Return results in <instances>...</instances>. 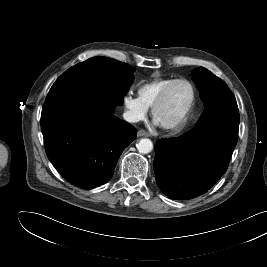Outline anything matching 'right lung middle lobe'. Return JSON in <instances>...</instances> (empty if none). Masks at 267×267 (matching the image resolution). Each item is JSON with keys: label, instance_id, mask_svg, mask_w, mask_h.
<instances>
[{"label": "right lung middle lobe", "instance_id": "dd1d6c3e", "mask_svg": "<svg viewBox=\"0 0 267 267\" xmlns=\"http://www.w3.org/2000/svg\"><path fill=\"white\" fill-rule=\"evenodd\" d=\"M135 69L107 57H93L64 72L51 87L43 107L73 95H88L122 105Z\"/></svg>", "mask_w": 267, "mask_h": 267}]
</instances>
